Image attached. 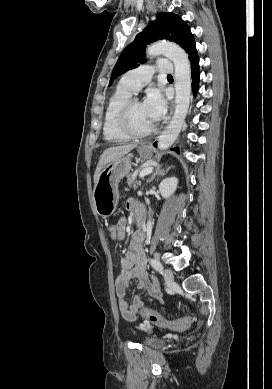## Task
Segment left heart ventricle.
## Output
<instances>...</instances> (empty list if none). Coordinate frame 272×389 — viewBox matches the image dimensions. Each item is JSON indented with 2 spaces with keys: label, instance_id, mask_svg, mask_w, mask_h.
I'll return each instance as SVG.
<instances>
[{
  "label": "left heart ventricle",
  "instance_id": "1",
  "mask_svg": "<svg viewBox=\"0 0 272 389\" xmlns=\"http://www.w3.org/2000/svg\"><path fill=\"white\" fill-rule=\"evenodd\" d=\"M131 121L133 128L138 132L146 131L153 126V122L140 102L135 103L132 107Z\"/></svg>",
  "mask_w": 272,
  "mask_h": 389
}]
</instances>
